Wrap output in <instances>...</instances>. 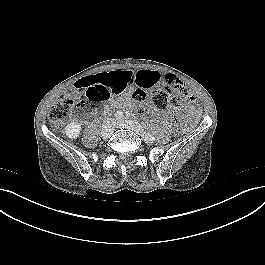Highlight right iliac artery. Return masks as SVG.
I'll return each mask as SVG.
<instances>
[{"mask_svg":"<svg viewBox=\"0 0 265 265\" xmlns=\"http://www.w3.org/2000/svg\"><path fill=\"white\" fill-rule=\"evenodd\" d=\"M115 117H116L117 119H122V118H123V113L120 112V111H117V112L115 113Z\"/></svg>","mask_w":265,"mask_h":265,"instance_id":"obj_1","label":"right iliac artery"}]
</instances>
